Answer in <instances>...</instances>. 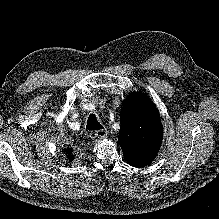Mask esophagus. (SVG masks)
Instances as JSON below:
<instances>
[{
  "label": "esophagus",
  "instance_id": "obj_1",
  "mask_svg": "<svg viewBox=\"0 0 219 219\" xmlns=\"http://www.w3.org/2000/svg\"><path fill=\"white\" fill-rule=\"evenodd\" d=\"M95 136L99 139H103L107 136V130L106 129H100L95 131Z\"/></svg>",
  "mask_w": 219,
  "mask_h": 219
}]
</instances>
